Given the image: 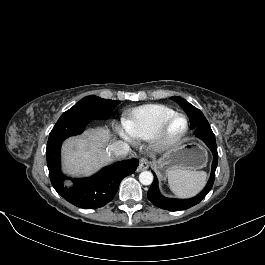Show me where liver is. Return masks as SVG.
Returning <instances> with one entry per match:
<instances>
[{"mask_svg":"<svg viewBox=\"0 0 265 265\" xmlns=\"http://www.w3.org/2000/svg\"><path fill=\"white\" fill-rule=\"evenodd\" d=\"M108 128L88 129L81 136L66 140L62 146L63 168L72 176H88L111 162L105 145L110 140Z\"/></svg>","mask_w":265,"mask_h":265,"instance_id":"6515ba94","label":"liver"}]
</instances>
